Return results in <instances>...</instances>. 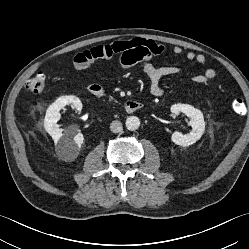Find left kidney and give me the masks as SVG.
Returning <instances> with one entry per match:
<instances>
[{"instance_id": "left-kidney-1", "label": "left kidney", "mask_w": 249, "mask_h": 249, "mask_svg": "<svg viewBox=\"0 0 249 249\" xmlns=\"http://www.w3.org/2000/svg\"><path fill=\"white\" fill-rule=\"evenodd\" d=\"M171 112L175 115L180 113L185 114L191 118L190 125L192 131L188 134H182L180 132H174L171 136V140L179 146L187 147L198 141L205 131V121L203 113L188 104H174L171 106Z\"/></svg>"}]
</instances>
